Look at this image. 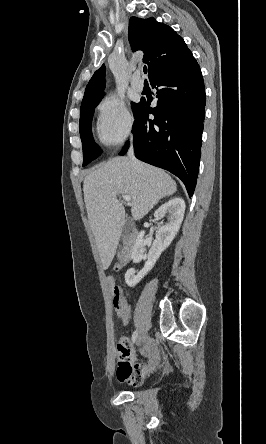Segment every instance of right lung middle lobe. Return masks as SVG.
Segmentation results:
<instances>
[{
	"label": "right lung middle lobe",
	"mask_w": 266,
	"mask_h": 444,
	"mask_svg": "<svg viewBox=\"0 0 266 444\" xmlns=\"http://www.w3.org/2000/svg\"><path fill=\"white\" fill-rule=\"evenodd\" d=\"M102 96L82 103L80 107L79 130L83 145V166L87 165L100 156L101 150L94 142L91 132V122L95 107L100 102ZM140 103H132L133 114L135 115Z\"/></svg>",
	"instance_id": "right-lung-middle-lobe-1"
}]
</instances>
